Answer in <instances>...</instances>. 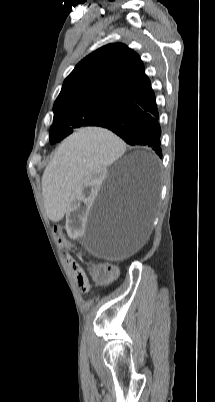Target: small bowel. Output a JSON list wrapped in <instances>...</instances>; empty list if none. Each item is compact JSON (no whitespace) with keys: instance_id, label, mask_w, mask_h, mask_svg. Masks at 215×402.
<instances>
[{"instance_id":"1","label":"small bowel","mask_w":215,"mask_h":402,"mask_svg":"<svg viewBox=\"0 0 215 402\" xmlns=\"http://www.w3.org/2000/svg\"><path fill=\"white\" fill-rule=\"evenodd\" d=\"M77 281L83 291L89 290L90 283H89V280H88L86 274L84 273V271H82L81 273L78 274Z\"/></svg>"}]
</instances>
